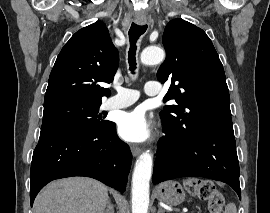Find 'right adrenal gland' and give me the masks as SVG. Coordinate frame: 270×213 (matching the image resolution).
Returning <instances> with one entry per match:
<instances>
[{"label":"right adrenal gland","instance_id":"right-adrenal-gland-1","mask_svg":"<svg viewBox=\"0 0 270 213\" xmlns=\"http://www.w3.org/2000/svg\"><path fill=\"white\" fill-rule=\"evenodd\" d=\"M104 213H114V207L110 200L107 202V208Z\"/></svg>","mask_w":270,"mask_h":213}]
</instances>
